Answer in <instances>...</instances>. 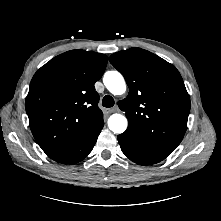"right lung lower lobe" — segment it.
<instances>
[{
	"mask_svg": "<svg viewBox=\"0 0 221 221\" xmlns=\"http://www.w3.org/2000/svg\"><path fill=\"white\" fill-rule=\"evenodd\" d=\"M103 118L94 123L84 137L74 146L48 155L51 159L62 164H76L83 160L93 149L103 128Z\"/></svg>",
	"mask_w": 221,
	"mask_h": 221,
	"instance_id": "1",
	"label": "right lung lower lobe"
}]
</instances>
